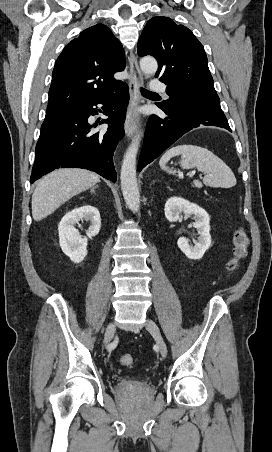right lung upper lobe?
Wrapping results in <instances>:
<instances>
[{"mask_svg":"<svg viewBox=\"0 0 272 452\" xmlns=\"http://www.w3.org/2000/svg\"><path fill=\"white\" fill-rule=\"evenodd\" d=\"M124 68L123 47L111 30L103 24L85 29L56 61L46 114L68 112L113 92L123 83L113 75Z\"/></svg>","mask_w":272,"mask_h":452,"instance_id":"obj_1","label":"right lung upper lobe"}]
</instances>
